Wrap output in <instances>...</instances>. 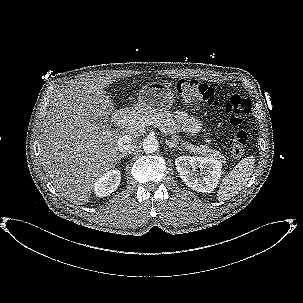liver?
<instances>
[{"label": "liver", "mask_w": 303, "mask_h": 303, "mask_svg": "<svg viewBox=\"0 0 303 303\" xmlns=\"http://www.w3.org/2000/svg\"><path fill=\"white\" fill-rule=\"evenodd\" d=\"M113 76L84 78L58 90L41 130V161L56 191L76 205L86 204L96 181L118 160L120 134L101 128L114 104L106 88Z\"/></svg>", "instance_id": "1"}]
</instances>
